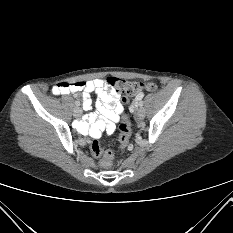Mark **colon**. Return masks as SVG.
<instances>
[{
    "label": "colon",
    "instance_id": "5ec220e1",
    "mask_svg": "<svg viewBox=\"0 0 233 233\" xmlns=\"http://www.w3.org/2000/svg\"><path fill=\"white\" fill-rule=\"evenodd\" d=\"M108 85L118 94H120L122 103L124 105H129L132 97L142 91H154L156 86L153 83H142V82H133L126 81L124 79L109 77L107 79ZM120 135H119V148L124 150L129 143L131 137V127L130 123L125 120L120 126ZM91 152L95 156H100L103 154L102 166L110 167L113 160V153L111 151L103 152L100 142L97 139H94L91 143Z\"/></svg>",
    "mask_w": 233,
    "mask_h": 233
}]
</instances>
